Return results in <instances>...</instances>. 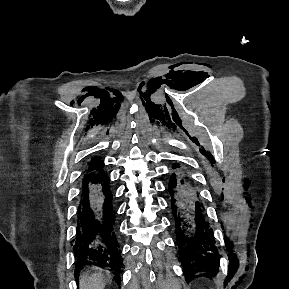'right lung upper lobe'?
Here are the masks:
<instances>
[{"label": "right lung upper lobe", "mask_w": 289, "mask_h": 289, "mask_svg": "<svg viewBox=\"0 0 289 289\" xmlns=\"http://www.w3.org/2000/svg\"><path fill=\"white\" fill-rule=\"evenodd\" d=\"M103 166H104V164L102 163V161L98 157L92 158L90 163H88V165H87L85 177H88V176H91V175H94V174L100 172L102 170Z\"/></svg>", "instance_id": "obj_1"}]
</instances>
